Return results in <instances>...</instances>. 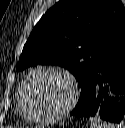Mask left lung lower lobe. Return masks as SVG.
<instances>
[{
    "label": "left lung lower lobe",
    "mask_w": 125,
    "mask_h": 128,
    "mask_svg": "<svg viewBox=\"0 0 125 128\" xmlns=\"http://www.w3.org/2000/svg\"><path fill=\"white\" fill-rule=\"evenodd\" d=\"M70 115L125 125V29L102 55Z\"/></svg>",
    "instance_id": "left-lung-lower-lobe-1"
}]
</instances>
